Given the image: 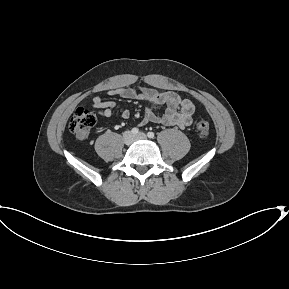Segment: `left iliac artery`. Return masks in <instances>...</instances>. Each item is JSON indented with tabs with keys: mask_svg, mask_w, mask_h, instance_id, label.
Masks as SVG:
<instances>
[{
	"mask_svg": "<svg viewBox=\"0 0 289 289\" xmlns=\"http://www.w3.org/2000/svg\"><path fill=\"white\" fill-rule=\"evenodd\" d=\"M147 136H148L149 138H154V137H155V135H154L153 132H148V133H147Z\"/></svg>",
	"mask_w": 289,
	"mask_h": 289,
	"instance_id": "1",
	"label": "left iliac artery"
}]
</instances>
